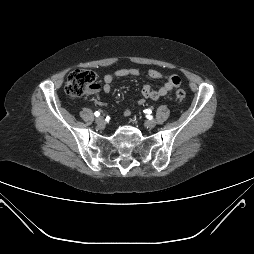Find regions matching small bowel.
<instances>
[{
	"label": "small bowel",
	"instance_id": "c3829d8e",
	"mask_svg": "<svg viewBox=\"0 0 254 254\" xmlns=\"http://www.w3.org/2000/svg\"><path fill=\"white\" fill-rule=\"evenodd\" d=\"M139 74L140 71L136 68H120L113 73H106L103 75V84L98 86L95 91L109 93L111 91V85L116 77L138 76ZM148 76L152 79H161L163 74L156 69H150L148 70ZM180 83V77L178 75L171 74L166 76V82L158 89H154L152 86L146 84L142 87V98L138 100V103L142 105L146 99L158 100L159 98L166 96L174 88L178 87ZM130 114L131 109L125 108L124 115L129 116Z\"/></svg>",
	"mask_w": 254,
	"mask_h": 254
}]
</instances>
